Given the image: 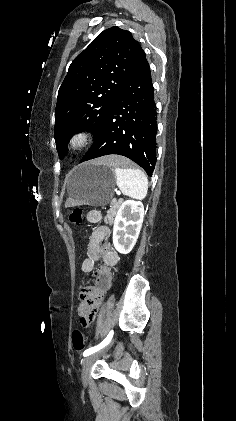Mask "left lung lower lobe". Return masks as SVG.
Wrapping results in <instances>:
<instances>
[{"label": "left lung lower lobe", "instance_id": "0a47b994", "mask_svg": "<svg viewBox=\"0 0 236 421\" xmlns=\"http://www.w3.org/2000/svg\"><path fill=\"white\" fill-rule=\"evenodd\" d=\"M156 131L151 72L140 48L125 85L80 163L118 154L130 158L151 176L156 163Z\"/></svg>", "mask_w": 236, "mask_h": 421}]
</instances>
